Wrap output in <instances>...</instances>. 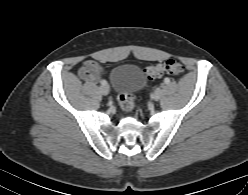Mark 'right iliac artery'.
Masks as SVG:
<instances>
[{
  "label": "right iliac artery",
  "mask_w": 248,
  "mask_h": 195,
  "mask_svg": "<svg viewBox=\"0 0 248 195\" xmlns=\"http://www.w3.org/2000/svg\"><path fill=\"white\" fill-rule=\"evenodd\" d=\"M101 84H102V85H106L107 82H106L105 80H103V81H101Z\"/></svg>",
  "instance_id": "obj_1"
}]
</instances>
